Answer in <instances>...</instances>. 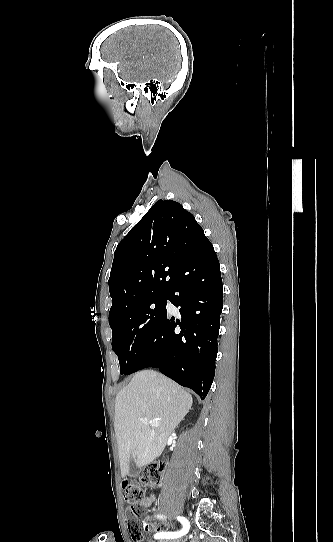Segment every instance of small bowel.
<instances>
[{
	"label": "small bowel",
	"mask_w": 333,
	"mask_h": 542,
	"mask_svg": "<svg viewBox=\"0 0 333 542\" xmlns=\"http://www.w3.org/2000/svg\"><path fill=\"white\" fill-rule=\"evenodd\" d=\"M155 501V495L153 493L148 494L145 496L144 500L140 503V506L143 508H149L152 506V504ZM144 529V532H153V533H161L167 525H159V524H152L151 522H146L141 525Z\"/></svg>",
	"instance_id": "c3829d8e"
}]
</instances>
